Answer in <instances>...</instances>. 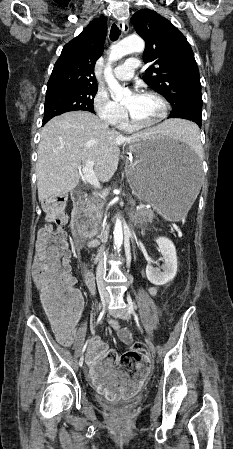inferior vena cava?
Here are the masks:
<instances>
[{
  "instance_id": "602c4592",
  "label": "inferior vena cava",
  "mask_w": 233,
  "mask_h": 449,
  "mask_svg": "<svg viewBox=\"0 0 233 449\" xmlns=\"http://www.w3.org/2000/svg\"><path fill=\"white\" fill-rule=\"evenodd\" d=\"M104 275H105V269H104L102 263H100V264L98 265L97 271H96V277H97V280H98V279H102V278L104 277Z\"/></svg>"
}]
</instances>
